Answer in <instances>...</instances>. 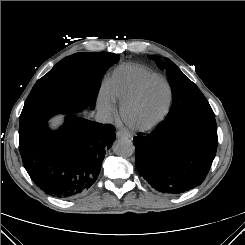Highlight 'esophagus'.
I'll list each match as a JSON object with an SVG mask.
<instances>
[{"label": "esophagus", "instance_id": "esophagus-1", "mask_svg": "<svg viewBox=\"0 0 245 245\" xmlns=\"http://www.w3.org/2000/svg\"><path fill=\"white\" fill-rule=\"evenodd\" d=\"M116 137L117 138H129L130 134L125 130H118L116 132Z\"/></svg>", "mask_w": 245, "mask_h": 245}]
</instances>
